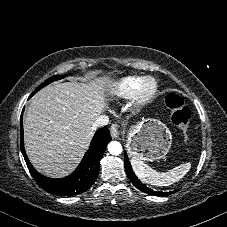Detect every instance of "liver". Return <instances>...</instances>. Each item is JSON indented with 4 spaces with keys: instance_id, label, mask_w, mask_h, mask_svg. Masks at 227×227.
Segmentation results:
<instances>
[{
    "instance_id": "obj_1",
    "label": "liver",
    "mask_w": 227,
    "mask_h": 227,
    "mask_svg": "<svg viewBox=\"0 0 227 227\" xmlns=\"http://www.w3.org/2000/svg\"><path fill=\"white\" fill-rule=\"evenodd\" d=\"M108 77L47 86L34 95L24 120V140L33 166L61 178L81 161L94 134V122L107 107Z\"/></svg>"
}]
</instances>
